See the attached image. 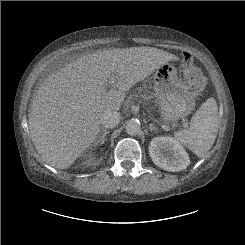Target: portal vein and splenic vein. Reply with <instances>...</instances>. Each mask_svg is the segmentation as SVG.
Here are the masks:
<instances>
[{
  "mask_svg": "<svg viewBox=\"0 0 245 245\" xmlns=\"http://www.w3.org/2000/svg\"><path fill=\"white\" fill-rule=\"evenodd\" d=\"M187 126H188V123L186 122V123H184V127H186L187 128Z\"/></svg>",
  "mask_w": 245,
  "mask_h": 245,
  "instance_id": "18ae733b",
  "label": "portal vein and splenic vein"
}]
</instances>
